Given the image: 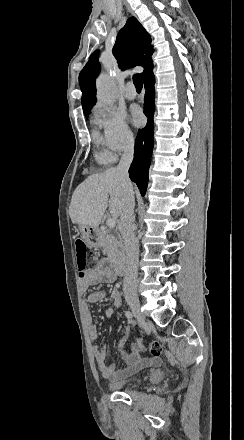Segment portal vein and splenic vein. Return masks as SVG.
I'll use <instances>...</instances> for the list:
<instances>
[{
	"instance_id": "18ae733b",
	"label": "portal vein and splenic vein",
	"mask_w": 244,
	"mask_h": 440,
	"mask_svg": "<svg viewBox=\"0 0 244 440\" xmlns=\"http://www.w3.org/2000/svg\"><path fill=\"white\" fill-rule=\"evenodd\" d=\"M106 224H107L108 228H115L116 218H108Z\"/></svg>"
}]
</instances>
